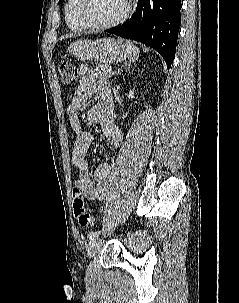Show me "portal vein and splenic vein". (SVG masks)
<instances>
[{
    "mask_svg": "<svg viewBox=\"0 0 239 303\" xmlns=\"http://www.w3.org/2000/svg\"><path fill=\"white\" fill-rule=\"evenodd\" d=\"M109 72H112V68H109Z\"/></svg>",
    "mask_w": 239,
    "mask_h": 303,
    "instance_id": "obj_1",
    "label": "portal vein and splenic vein"
}]
</instances>
